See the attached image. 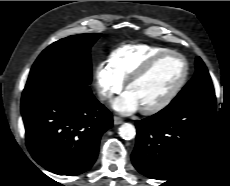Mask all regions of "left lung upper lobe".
<instances>
[{"label": "left lung upper lobe", "instance_id": "5c2ea615", "mask_svg": "<svg viewBox=\"0 0 230 186\" xmlns=\"http://www.w3.org/2000/svg\"><path fill=\"white\" fill-rule=\"evenodd\" d=\"M215 94L208 70L200 57L196 58V72L192 80L181 90L171 103H179L193 97Z\"/></svg>", "mask_w": 230, "mask_h": 186}]
</instances>
